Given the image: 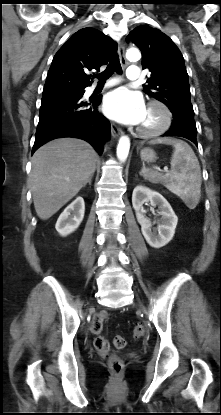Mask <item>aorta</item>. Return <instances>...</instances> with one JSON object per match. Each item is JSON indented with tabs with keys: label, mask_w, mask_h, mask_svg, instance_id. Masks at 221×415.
I'll use <instances>...</instances> for the list:
<instances>
[{
	"label": "aorta",
	"mask_w": 221,
	"mask_h": 415,
	"mask_svg": "<svg viewBox=\"0 0 221 415\" xmlns=\"http://www.w3.org/2000/svg\"><path fill=\"white\" fill-rule=\"evenodd\" d=\"M126 57L130 61H136L140 59L141 54L137 48H129L126 52ZM130 139L128 136H122L119 139L117 146V157L120 161L124 162L129 154Z\"/></svg>",
	"instance_id": "1"
}]
</instances>
